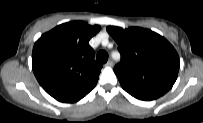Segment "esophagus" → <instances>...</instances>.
I'll use <instances>...</instances> for the list:
<instances>
[{"label":"esophagus","mask_w":203,"mask_h":123,"mask_svg":"<svg viewBox=\"0 0 203 123\" xmlns=\"http://www.w3.org/2000/svg\"><path fill=\"white\" fill-rule=\"evenodd\" d=\"M105 65L108 67H112L113 66L112 60L107 61V63Z\"/></svg>","instance_id":"1"}]
</instances>
